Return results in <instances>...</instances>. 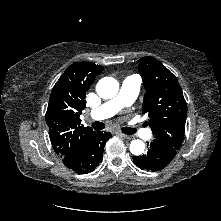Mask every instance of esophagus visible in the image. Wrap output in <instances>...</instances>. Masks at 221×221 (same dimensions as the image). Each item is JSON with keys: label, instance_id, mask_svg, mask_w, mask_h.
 I'll use <instances>...</instances> for the list:
<instances>
[{"label": "esophagus", "instance_id": "obj_1", "mask_svg": "<svg viewBox=\"0 0 221 221\" xmlns=\"http://www.w3.org/2000/svg\"><path fill=\"white\" fill-rule=\"evenodd\" d=\"M118 135H120L121 137L125 138V139H128V140H131L132 139V136L131 135H126V134H123V133H117Z\"/></svg>", "mask_w": 221, "mask_h": 221}]
</instances>
